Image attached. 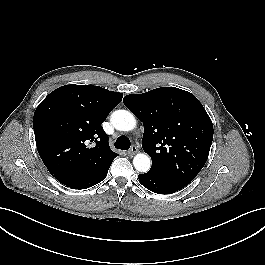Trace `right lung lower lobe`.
<instances>
[{
  "label": "right lung lower lobe",
  "mask_w": 265,
  "mask_h": 265,
  "mask_svg": "<svg viewBox=\"0 0 265 265\" xmlns=\"http://www.w3.org/2000/svg\"><path fill=\"white\" fill-rule=\"evenodd\" d=\"M109 167L105 168L104 170H102L98 173L92 174V175H88V176H84L81 178H77V179L63 182V184L66 185L67 187H70L73 189H87V188L101 182L107 176V172H108Z\"/></svg>",
  "instance_id": "1"
}]
</instances>
